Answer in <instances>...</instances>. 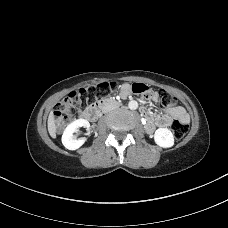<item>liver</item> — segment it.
<instances>
[{
    "label": "liver",
    "instance_id": "6515ba94",
    "mask_svg": "<svg viewBox=\"0 0 228 228\" xmlns=\"http://www.w3.org/2000/svg\"><path fill=\"white\" fill-rule=\"evenodd\" d=\"M48 132L52 138L56 137V125L54 120L53 112H50L48 116Z\"/></svg>",
    "mask_w": 228,
    "mask_h": 228
}]
</instances>
